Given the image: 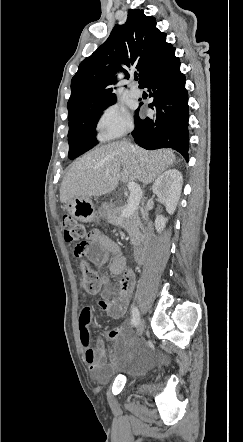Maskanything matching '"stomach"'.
<instances>
[{"label":"stomach","mask_w":243,"mask_h":442,"mask_svg":"<svg viewBox=\"0 0 243 442\" xmlns=\"http://www.w3.org/2000/svg\"><path fill=\"white\" fill-rule=\"evenodd\" d=\"M67 212L81 222H92L99 218L89 197L73 198L66 204Z\"/></svg>","instance_id":"0dacf381"}]
</instances>
